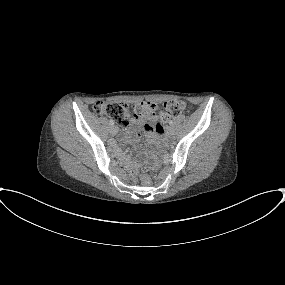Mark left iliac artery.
<instances>
[{"instance_id":"44dca946","label":"left iliac artery","mask_w":285,"mask_h":285,"mask_svg":"<svg viewBox=\"0 0 285 285\" xmlns=\"http://www.w3.org/2000/svg\"><path fill=\"white\" fill-rule=\"evenodd\" d=\"M169 124H170V125H173V121H172V120H170V121H169Z\"/></svg>"}]
</instances>
